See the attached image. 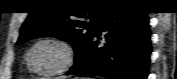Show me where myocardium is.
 <instances>
[{
	"mask_svg": "<svg viewBox=\"0 0 177 79\" xmlns=\"http://www.w3.org/2000/svg\"><path fill=\"white\" fill-rule=\"evenodd\" d=\"M44 43L56 44L63 51V60H62L61 64L57 68L50 70V71L38 70L37 68L34 67V65L32 63V59H31L34 49L37 46L44 44ZM75 59H76V50H75L74 46L72 45V43H70L69 41H67L65 39L49 37V38L40 39L31 46V48L29 49V51L27 53L26 61H27L28 68L36 74L56 75V74L62 73L65 70H67L74 63Z\"/></svg>",
	"mask_w": 177,
	"mask_h": 79,
	"instance_id": "myocardium-1",
	"label": "myocardium"
}]
</instances>
